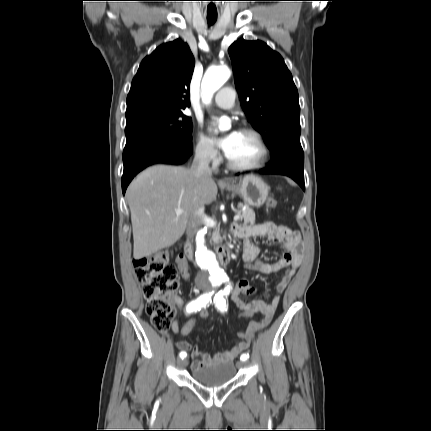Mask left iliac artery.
<instances>
[{
  "label": "left iliac artery",
  "instance_id": "left-iliac-artery-1",
  "mask_svg": "<svg viewBox=\"0 0 431 431\" xmlns=\"http://www.w3.org/2000/svg\"><path fill=\"white\" fill-rule=\"evenodd\" d=\"M228 281V279H227ZM229 290L230 287L227 286V288H225L223 291L219 292L218 294L215 295L214 297V303L215 306L217 307L218 310H220L221 312H225L227 311V304H226V299L225 297L229 294ZM247 358H249V354H243L240 359L242 361L247 360Z\"/></svg>",
  "mask_w": 431,
  "mask_h": 431
}]
</instances>
